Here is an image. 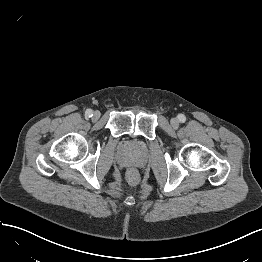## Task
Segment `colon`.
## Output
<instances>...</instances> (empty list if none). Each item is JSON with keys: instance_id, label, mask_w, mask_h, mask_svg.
<instances>
[{"instance_id": "colon-1", "label": "colon", "mask_w": 262, "mask_h": 262, "mask_svg": "<svg viewBox=\"0 0 262 262\" xmlns=\"http://www.w3.org/2000/svg\"><path fill=\"white\" fill-rule=\"evenodd\" d=\"M127 178H128L129 183L132 184V185L137 184L138 181H139V175H138L137 171H135V170H130L128 172Z\"/></svg>"}]
</instances>
